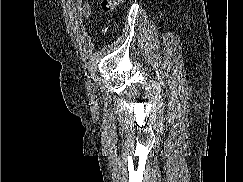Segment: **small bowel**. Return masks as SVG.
Segmentation results:
<instances>
[{
    "mask_svg": "<svg viewBox=\"0 0 243 182\" xmlns=\"http://www.w3.org/2000/svg\"><path fill=\"white\" fill-rule=\"evenodd\" d=\"M90 14H91V8H90L89 5H86V6L84 7V15H85L86 17H89Z\"/></svg>",
    "mask_w": 243,
    "mask_h": 182,
    "instance_id": "1",
    "label": "small bowel"
}]
</instances>
